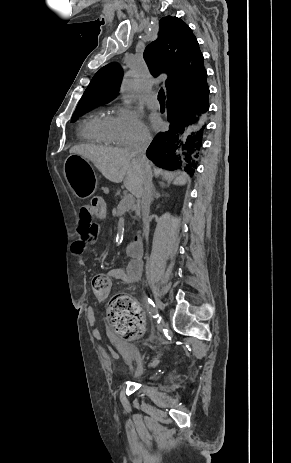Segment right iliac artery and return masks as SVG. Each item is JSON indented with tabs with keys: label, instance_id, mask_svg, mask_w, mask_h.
<instances>
[{
	"label": "right iliac artery",
	"instance_id": "82829eb1",
	"mask_svg": "<svg viewBox=\"0 0 291 463\" xmlns=\"http://www.w3.org/2000/svg\"><path fill=\"white\" fill-rule=\"evenodd\" d=\"M145 299H146V305H147V310L149 311V314L153 318H156L158 316V311L155 307L154 302L150 298H145Z\"/></svg>",
	"mask_w": 291,
	"mask_h": 463
}]
</instances>
